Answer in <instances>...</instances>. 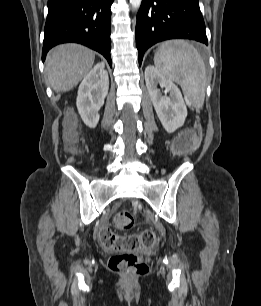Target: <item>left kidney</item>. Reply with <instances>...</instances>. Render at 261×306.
Returning <instances> with one entry per match:
<instances>
[{"instance_id":"obj_1","label":"left kidney","mask_w":261,"mask_h":306,"mask_svg":"<svg viewBox=\"0 0 261 306\" xmlns=\"http://www.w3.org/2000/svg\"><path fill=\"white\" fill-rule=\"evenodd\" d=\"M145 82L158 118L168 133L180 128L187 116V108L178 87L157 68L149 65L145 69ZM165 88V95L160 89ZM169 94V96H167Z\"/></svg>"}]
</instances>
